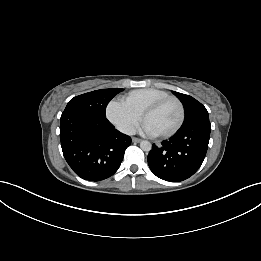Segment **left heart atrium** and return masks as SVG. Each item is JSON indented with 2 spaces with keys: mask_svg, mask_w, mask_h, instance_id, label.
<instances>
[{
  "mask_svg": "<svg viewBox=\"0 0 261 261\" xmlns=\"http://www.w3.org/2000/svg\"><path fill=\"white\" fill-rule=\"evenodd\" d=\"M141 131L147 135H157L156 131L146 122L142 124Z\"/></svg>",
  "mask_w": 261,
  "mask_h": 261,
  "instance_id": "left-heart-atrium-1",
  "label": "left heart atrium"
}]
</instances>
